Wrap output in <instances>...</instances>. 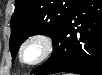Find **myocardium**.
<instances>
[{"mask_svg": "<svg viewBox=\"0 0 102 75\" xmlns=\"http://www.w3.org/2000/svg\"><path fill=\"white\" fill-rule=\"evenodd\" d=\"M36 44L39 46V52L33 60L27 57V50L30 45ZM54 42L52 38L43 33H37L29 36L24 40L19 49V57L25 64H36L47 59L52 53Z\"/></svg>", "mask_w": 102, "mask_h": 75, "instance_id": "myocardium-1", "label": "myocardium"}]
</instances>
